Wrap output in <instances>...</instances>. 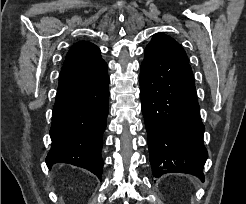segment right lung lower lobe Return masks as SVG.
<instances>
[{
    "instance_id": "obj_1",
    "label": "right lung lower lobe",
    "mask_w": 246,
    "mask_h": 204,
    "mask_svg": "<svg viewBox=\"0 0 246 204\" xmlns=\"http://www.w3.org/2000/svg\"><path fill=\"white\" fill-rule=\"evenodd\" d=\"M109 82L106 63L63 66L52 114L48 167L69 163L101 179Z\"/></svg>"
}]
</instances>
